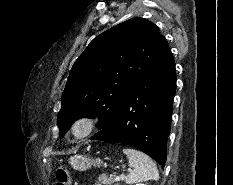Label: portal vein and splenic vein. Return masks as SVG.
<instances>
[{
    "instance_id": "portal-vein-and-splenic-vein-1",
    "label": "portal vein and splenic vein",
    "mask_w": 233,
    "mask_h": 185,
    "mask_svg": "<svg viewBox=\"0 0 233 185\" xmlns=\"http://www.w3.org/2000/svg\"><path fill=\"white\" fill-rule=\"evenodd\" d=\"M124 178V174H121L120 176H115V181L122 180Z\"/></svg>"
}]
</instances>
